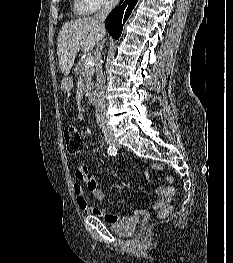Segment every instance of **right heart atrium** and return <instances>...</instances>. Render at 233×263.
Returning <instances> with one entry per match:
<instances>
[{
    "label": "right heart atrium",
    "instance_id": "right-heart-atrium-1",
    "mask_svg": "<svg viewBox=\"0 0 233 263\" xmlns=\"http://www.w3.org/2000/svg\"><path fill=\"white\" fill-rule=\"evenodd\" d=\"M118 0H77V8L82 13H92L101 8L114 6Z\"/></svg>",
    "mask_w": 233,
    "mask_h": 263
}]
</instances>
